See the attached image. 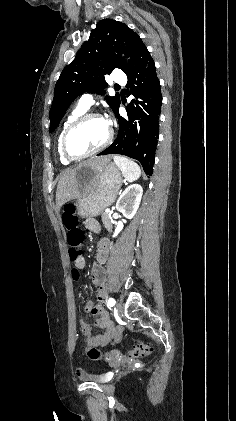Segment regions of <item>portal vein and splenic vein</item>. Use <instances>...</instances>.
<instances>
[{"label":"portal vein and splenic vein","instance_id":"18ae733b","mask_svg":"<svg viewBox=\"0 0 236 421\" xmlns=\"http://www.w3.org/2000/svg\"><path fill=\"white\" fill-rule=\"evenodd\" d=\"M105 213H110V208H106Z\"/></svg>","mask_w":236,"mask_h":421}]
</instances>
